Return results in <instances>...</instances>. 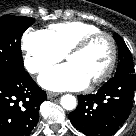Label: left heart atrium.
<instances>
[{"mask_svg":"<svg viewBox=\"0 0 136 136\" xmlns=\"http://www.w3.org/2000/svg\"><path fill=\"white\" fill-rule=\"evenodd\" d=\"M42 87L52 91L80 90L89 84L86 76L73 64L48 69L39 77Z\"/></svg>","mask_w":136,"mask_h":136,"instance_id":"39dd6f15","label":"left heart atrium"}]
</instances>
